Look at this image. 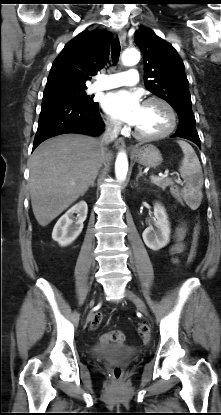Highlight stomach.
Wrapping results in <instances>:
<instances>
[{"mask_svg": "<svg viewBox=\"0 0 221 415\" xmlns=\"http://www.w3.org/2000/svg\"><path fill=\"white\" fill-rule=\"evenodd\" d=\"M131 157L145 167L155 168L162 163L160 151L151 144L136 146L131 152Z\"/></svg>", "mask_w": 221, "mask_h": 415, "instance_id": "stomach-1", "label": "stomach"}]
</instances>
